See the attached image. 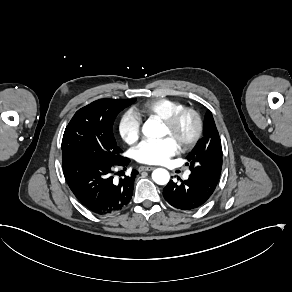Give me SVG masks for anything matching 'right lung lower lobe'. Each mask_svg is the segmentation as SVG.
Listing matches in <instances>:
<instances>
[{
    "mask_svg": "<svg viewBox=\"0 0 292 292\" xmlns=\"http://www.w3.org/2000/svg\"><path fill=\"white\" fill-rule=\"evenodd\" d=\"M129 162L126 157L117 162L81 155L62 157L63 173L71 191L82 205L98 215L116 213L129 204L138 171L133 169L119 182L112 175V167H126Z\"/></svg>",
    "mask_w": 292,
    "mask_h": 292,
    "instance_id": "98d812e1",
    "label": "right lung lower lobe"
}]
</instances>
